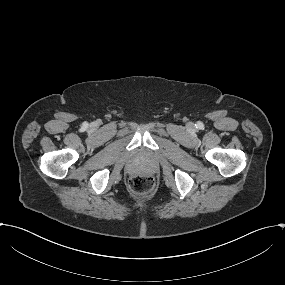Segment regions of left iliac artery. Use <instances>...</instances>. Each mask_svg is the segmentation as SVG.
Masks as SVG:
<instances>
[{
  "label": "left iliac artery",
  "instance_id": "1",
  "mask_svg": "<svg viewBox=\"0 0 285 285\" xmlns=\"http://www.w3.org/2000/svg\"><path fill=\"white\" fill-rule=\"evenodd\" d=\"M196 126H197V128H202V127H203V124H202L201 122H198V123L196 124Z\"/></svg>",
  "mask_w": 285,
  "mask_h": 285
}]
</instances>
